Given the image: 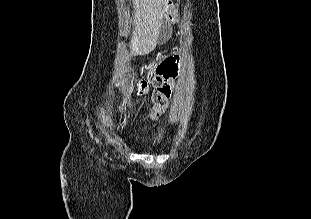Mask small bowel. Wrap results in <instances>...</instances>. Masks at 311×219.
<instances>
[{
    "label": "small bowel",
    "mask_w": 311,
    "mask_h": 219,
    "mask_svg": "<svg viewBox=\"0 0 311 219\" xmlns=\"http://www.w3.org/2000/svg\"><path fill=\"white\" fill-rule=\"evenodd\" d=\"M161 62V59H157L156 61H154L152 64H150L147 69H151L154 66L158 65Z\"/></svg>",
    "instance_id": "small-bowel-1"
}]
</instances>
